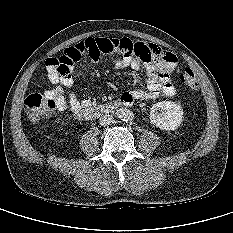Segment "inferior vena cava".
I'll return each mask as SVG.
<instances>
[{
	"label": "inferior vena cava",
	"mask_w": 233,
	"mask_h": 233,
	"mask_svg": "<svg viewBox=\"0 0 233 233\" xmlns=\"http://www.w3.org/2000/svg\"><path fill=\"white\" fill-rule=\"evenodd\" d=\"M115 122L114 117L112 115H103L99 119V123L103 126H107L113 124Z\"/></svg>",
	"instance_id": "inferior-vena-cava-1"
}]
</instances>
